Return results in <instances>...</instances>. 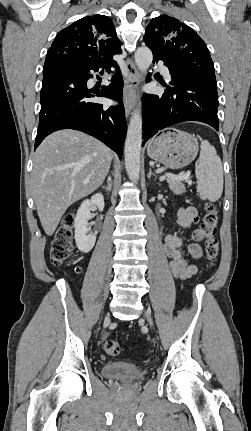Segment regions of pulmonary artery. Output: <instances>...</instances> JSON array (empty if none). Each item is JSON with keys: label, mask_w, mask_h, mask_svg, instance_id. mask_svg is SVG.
<instances>
[{"label": "pulmonary artery", "mask_w": 251, "mask_h": 431, "mask_svg": "<svg viewBox=\"0 0 251 431\" xmlns=\"http://www.w3.org/2000/svg\"><path fill=\"white\" fill-rule=\"evenodd\" d=\"M158 70L166 77V78H170L171 77V74H170V71H169V69L166 67V66H164V65H158Z\"/></svg>", "instance_id": "e3ab8cb5"}]
</instances>
